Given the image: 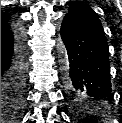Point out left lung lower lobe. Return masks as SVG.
<instances>
[{
    "mask_svg": "<svg viewBox=\"0 0 122 123\" xmlns=\"http://www.w3.org/2000/svg\"><path fill=\"white\" fill-rule=\"evenodd\" d=\"M63 84L71 99L105 102L112 98L109 49L104 33L67 14L61 24Z\"/></svg>",
    "mask_w": 122,
    "mask_h": 123,
    "instance_id": "obj_1",
    "label": "left lung lower lobe"
}]
</instances>
